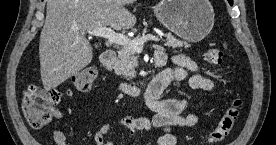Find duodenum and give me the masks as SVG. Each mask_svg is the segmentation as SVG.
Listing matches in <instances>:
<instances>
[{
	"instance_id": "1",
	"label": "duodenum",
	"mask_w": 276,
	"mask_h": 145,
	"mask_svg": "<svg viewBox=\"0 0 276 145\" xmlns=\"http://www.w3.org/2000/svg\"><path fill=\"white\" fill-rule=\"evenodd\" d=\"M117 60V53L113 49H108L103 52L101 56V63L108 71L114 69ZM166 59L162 54H156L154 58L155 67H161L165 64ZM169 83V79L163 76L162 73L154 77L150 82H143L142 84H128L122 83L120 91L130 97H137L143 90L148 89L149 86L163 90Z\"/></svg>"
}]
</instances>
